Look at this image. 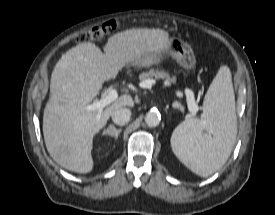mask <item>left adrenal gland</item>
Returning <instances> with one entry per match:
<instances>
[{
	"instance_id": "a2214340",
	"label": "left adrenal gland",
	"mask_w": 275,
	"mask_h": 215,
	"mask_svg": "<svg viewBox=\"0 0 275 215\" xmlns=\"http://www.w3.org/2000/svg\"><path fill=\"white\" fill-rule=\"evenodd\" d=\"M172 107H173L174 109H178V110H180V111H183V108H182L181 104L178 103V102H174V103L172 104Z\"/></svg>"
}]
</instances>
